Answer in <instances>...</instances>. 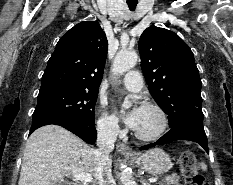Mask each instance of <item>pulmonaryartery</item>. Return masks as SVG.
<instances>
[{"instance_id": "obj_1", "label": "pulmonary artery", "mask_w": 233, "mask_h": 185, "mask_svg": "<svg viewBox=\"0 0 233 185\" xmlns=\"http://www.w3.org/2000/svg\"><path fill=\"white\" fill-rule=\"evenodd\" d=\"M122 83L130 91L137 92L140 91L144 85L143 78L139 71L131 70L128 71L123 79Z\"/></svg>"}]
</instances>
